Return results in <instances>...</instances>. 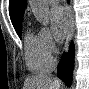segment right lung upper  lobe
Here are the masks:
<instances>
[{
	"label": "right lung upper lobe",
	"mask_w": 89,
	"mask_h": 89,
	"mask_svg": "<svg viewBox=\"0 0 89 89\" xmlns=\"http://www.w3.org/2000/svg\"><path fill=\"white\" fill-rule=\"evenodd\" d=\"M26 0H9V14L15 30L21 27Z\"/></svg>",
	"instance_id": "cb5924a9"
}]
</instances>
